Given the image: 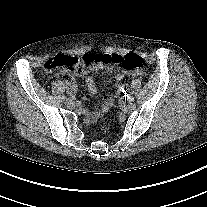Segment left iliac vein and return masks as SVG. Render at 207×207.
<instances>
[{
	"mask_svg": "<svg viewBox=\"0 0 207 207\" xmlns=\"http://www.w3.org/2000/svg\"><path fill=\"white\" fill-rule=\"evenodd\" d=\"M126 101H127L128 103H131V102L133 101V97H129V96H127V97H126Z\"/></svg>",
	"mask_w": 207,
	"mask_h": 207,
	"instance_id": "4c4485c4",
	"label": "left iliac vein"
}]
</instances>
